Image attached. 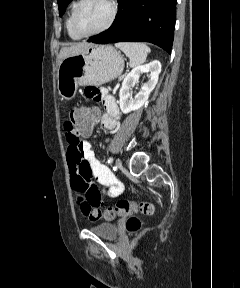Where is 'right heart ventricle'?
<instances>
[{
    "label": "right heart ventricle",
    "instance_id": "obj_1",
    "mask_svg": "<svg viewBox=\"0 0 240 288\" xmlns=\"http://www.w3.org/2000/svg\"><path fill=\"white\" fill-rule=\"evenodd\" d=\"M77 0L73 1V3L71 4L70 6V10H69V13H68V16H67V19H66V23H65V26H66V30H67V33L69 35L70 38L74 39V40H78L80 39L81 37L78 36L73 30H72V27H71V16H72V13H73V10L77 4Z\"/></svg>",
    "mask_w": 240,
    "mask_h": 288
}]
</instances>
